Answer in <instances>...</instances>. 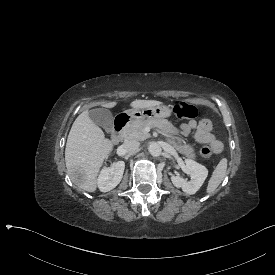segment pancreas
I'll list each match as a JSON object with an SVG mask.
<instances>
[{
  "label": "pancreas",
  "instance_id": "cf45deb5",
  "mask_svg": "<svg viewBox=\"0 0 275 275\" xmlns=\"http://www.w3.org/2000/svg\"><path fill=\"white\" fill-rule=\"evenodd\" d=\"M159 128L161 130V133L164 135L168 134H180L181 130L176 128L170 121L167 119H154L150 121H143V120H137L133 121L130 124H128L123 132L125 133L126 139H135L139 141H143L147 138H150V134L145 132V128ZM174 148L182 155L192 159L196 160V152L195 148L187 143H174Z\"/></svg>",
  "mask_w": 275,
  "mask_h": 275
}]
</instances>
